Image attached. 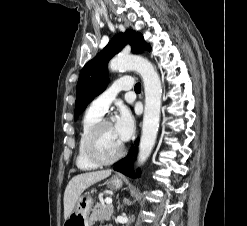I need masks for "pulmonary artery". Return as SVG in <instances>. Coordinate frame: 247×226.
<instances>
[{"instance_id": "pulmonary-artery-1", "label": "pulmonary artery", "mask_w": 247, "mask_h": 226, "mask_svg": "<svg viewBox=\"0 0 247 226\" xmlns=\"http://www.w3.org/2000/svg\"><path fill=\"white\" fill-rule=\"evenodd\" d=\"M133 88V80L129 76L117 79L108 89L98 95L90 104L89 109L103 116L111 103L115 100L120 91H126Z\"/></svg>"}]
</instances>
